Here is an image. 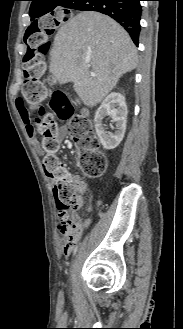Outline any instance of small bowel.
Returning a JSON list of instances; mask_svg holds the SVG:
<instances>
[{
  "instance_id": "1",
  "label": "small bowel",
  "mask_w": 183,
  "mask_h": 329,
  "mask_svg": "<svg viewBox=\"0 0 183 329\" xmlns=\"http://www.w3.org/2000/svg\"><path fill=\"white\" fill-rule=\"evenodd\" d=\"M20 117H21V120L23 121V123L26 126L27 133L31 137L33 144L35 146H37L38 145V142H37L36 136H35V134L33 132V129H32V118H31V115L30 114H20ZM65 132H66V128L65 127L61 128V130L59 132V139L60 140H62L63 137L65 136ZM70 176L76 181V183L78 185V191H79V197H78L79 203H78V207H80L83 204V193L86 190V185H85V182L81 178H79L78 176H75V175H70ZM89 209H91V206L89 207ZM58 218L60 220V222H59V230L62 233H63V231H62V225L61 224H62L63 221H70L73 224L77 225L79 227V229H80V233L89 224V220H86V221L82 222L80 220L79 215L77 214L76 211H72V212L67 213V214H64V215L58 214ZM80 233H79V235H80ZM79 235H78V237H79ZM78 237H77V239H78ZM77 239H76V241H77ZM74 244H72V245L71 244H68L67 243V239H66L63 242L62 246H61V252L64 255H68L71 252Z\"/></svg>"
}]
</instances>
